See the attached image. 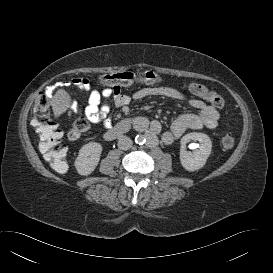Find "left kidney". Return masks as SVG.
<instances>
[{
    "label": "left kidney",
    "mask_w": 273,
    "mask_h": 273,
    "mask_svg": "<svg viewBox=\"0 0 273 273\" xmlns=\"http://www.w3.org/2000/svg\"><path fill=\"white\" fill-rule=\"evenodd\" d=\"M191 140L198 141V149L193 152L186 150V144ZM180 162L187 171H196L201 169L211 154L212 141L204 133L192 132L181 138Z\"/></svg>",
    "instance_id": "5707ae66"
}]
</instances>
